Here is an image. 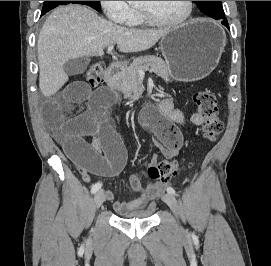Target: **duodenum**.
Returning a JSON list of instances; mask_svg holds the SVG:
<instances>
[{"instance_id": "duodenum-1", "label": "duodenum", "mask_w": 271, "mask_h": 266, "mask_svg": "<svg viewBox=\"0 0 271 266\" xmlns=\"http://www.w3.org/2000/svg\"><path fill=\"white\" fill-rule=\"evenodd\" d=\"M122 73L123 66L121 62H113L110 64L105 73V82L107 86L113 90H116L119 86Z\"/></svg>"}]
</instances>
